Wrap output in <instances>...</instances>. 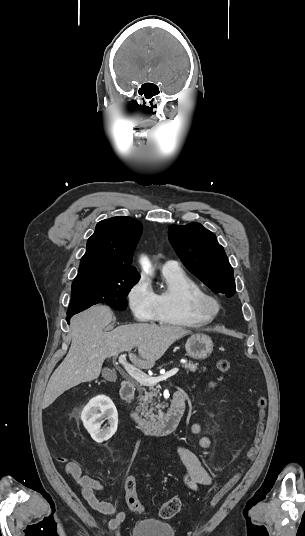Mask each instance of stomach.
<instances>
[{"label": "stomach", "instance_id": "obj_1", "mask_svg": "<svg viewBox=\"0 0 305 536\" xmlns=\"http://www.w3.org/2000/svg\"><path fill=\"white\" fill-rule=\"evenodd\" d=\"M185 350L187 356L194 358V360H205L213 350V342L206 334H194L191 338H188L185 344Z\"/></svg>", "mask_w": 305, "mask_h": 536}]
</instances>
